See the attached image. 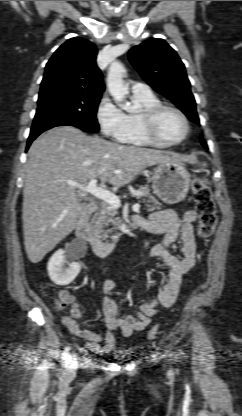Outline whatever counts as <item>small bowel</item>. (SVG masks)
Segmentation results:
<instances>
[{
	"instance_id": "obj_1",
	"label": "small bowel",
	"mask_w": 242,
	"mask_h": 416,
	"mask_svg": "<svg viewBox=\"0 0 242 416\" xmlns=\"http://www.w3.org/2000/svg\"><path fill=\"white\" fill-rule=\"evenodd\" d=\"M197 216L195 211L188 210L182 216H178L173 210H160L152 213L147 219H140L141 227L152 234H162L163 241L151 250L153 258L161 260L169 269V278L163 289L153 299L139 304L135 315L119 316L118 305L110 296L116 288L112 279L103 282V316L106 330L95 332L83 329L77 324L82 311L80 306L72 302L70 315L62 317L63 325L76 338L86 341V348L96 354L107 355L116 348L114 331L120 330L124 337L130 336L135 331L147 328L153 317L158 313V307L169 308L178 296L180 284L196 263V245L193 231V223ZM181 240V254L179 257L171 250L172 246ZM67 293L66 291H64ZM72 301V297L67 293Z\"/></svg>"
}]
</instances>
